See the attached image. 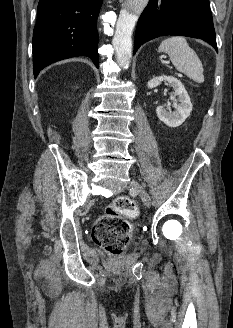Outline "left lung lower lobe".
<instances>
[{"label":"left lung lower lobe","instance_id":"0a47b994","mask_svg":"<svg viewBox=\"0 0 233 328\" xmlns=\"http://www.w3.org/2000/svg\"><path fill=\"white\" fill-rule=\"evenodd\" d=\"M170 34L203 39L217 50L209 0H150L137 24L134 54L144 42Z\"/></svg>","mask_w":233,"mask_h":328}]
</instances>
